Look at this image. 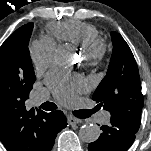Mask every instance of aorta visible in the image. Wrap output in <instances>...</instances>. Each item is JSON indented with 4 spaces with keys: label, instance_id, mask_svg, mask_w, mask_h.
<instances>
[{
    "label": "aorta",
    "instance_id": "1",
    "mask_svg": "<svg viewBox=\"0 0 151 151\" xmlns=\"http://www.w3.org/2000/svg\"><path fill=\"white\" fill-rule=\"evenodd\" d=\"M56 60L62 64H70L73 60L71 51L66 47L58 49L56 51ZM79 136L83 142H95L100 136V128L96 124L85 123L80 128Z\"/></svg>",
    "mask_w": 151,
    "mask_h": 151
}]
</instances>
